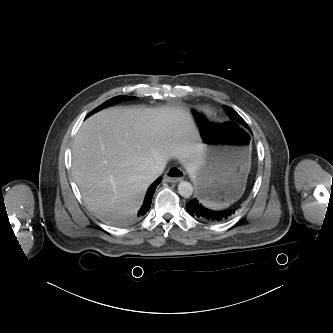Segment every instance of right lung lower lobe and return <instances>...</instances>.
I'll list each match as a JSON object with an SVG mask.
<instances>
[{
    "label": "right lung lower lobe",
    "instance_id": "98d812e1",
    "mask_svg": "<svg viewBox=\"0 0 333 333\" xmlns=\"http://www.w3.org/2000/svg\"><path fill=\"white\" fill-rule=\"evenodd\" d=\"M162 181V178L159 177L156 181H154L152 183V185L149 187L148 191H147V194L145 196V199H144V204L142 205L141 209L139 210L138 212V216H143L144 214H146L149 209H150V204L152 202V197H153V194H154V191L157 187V185L160 184V182Z\"/></svg>",
    "mask_w": 333,
    "mask_h": 333
}]
</instances>
